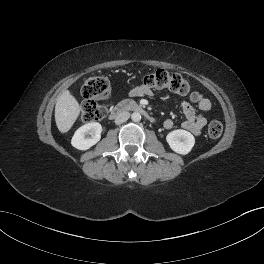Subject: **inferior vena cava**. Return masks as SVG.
Segmentation results:
<instances>
[{
  "label": "inferior vena cava",
  "mask_w": 264,
  "mask_h": 264,
  "mask_svg": "<svg viewBox=\"0 0 264 264\" xmlns=\"http://www.w3.org/2000/svg\"><path fill=\"white\" fill-rule=\"evenodd\" d=\"M130 117V113L128 111H123L119 114H117L115 118V123L117 125L122 124L123 122H126Z\"/></svg>",
  "instance_id": "1"
}]
</instances>
